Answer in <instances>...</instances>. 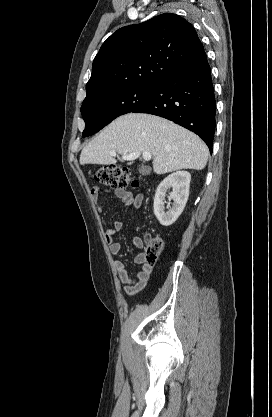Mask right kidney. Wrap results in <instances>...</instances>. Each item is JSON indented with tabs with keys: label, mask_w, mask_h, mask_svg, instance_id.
I'll return each instance as SVG.
<instances>
[{
	"label": "right kidney",
	"mask_w": 272,
	"mask_h": 417,
	"mask_svg": "<svg viewBox=\"0 0 272 417\" xmlns=\"http://www.w3.org/2000/svg\"><path fill=\"white\" fill-rule=\"evenodd\" d=\"M191 175L187 171H177L167 176L157 187L154 197V214L163 226L172 225L181 215L189 196ZM172 188L170 198L172 208L165 212L164 200L168 189Z\"/></svg>",
	"instance_id": "ca27d5eb"
}]
</instances>
